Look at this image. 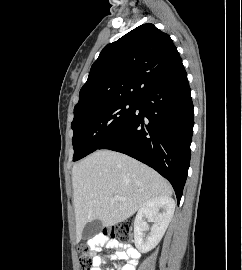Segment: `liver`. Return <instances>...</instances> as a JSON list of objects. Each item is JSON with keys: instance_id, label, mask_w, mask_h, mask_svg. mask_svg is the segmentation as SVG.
Segmentation results:
<instances>
[{"instance_id": "1", "label": "liver", "mask_w": 242, "mask_h": 270, "mask_svg": "<svg viewBox=\"0 0 242 270\" xmlns=\"http://www.w3.org/2000/svg\"><path fill=\"white\" fill-rule=\"evenodd\" d=\"M76 240L88 222L110 227L132 216L149 199L172 195L171 185L156 171L128 155L98 150L72 168ZM119 195L125 200H115Z\"/></svg>"}]
</instances>
